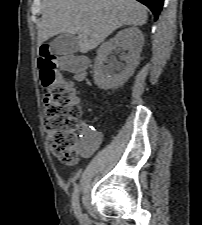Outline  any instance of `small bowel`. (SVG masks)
Masks as SVG:
<instances>
[{"label":"small bowel","mask_w":202,"mask_h":225,"mask_svg":"<svg viewBox=\"0 0 202 225\" xmlns=\"http://www.w3.org/2000/svg\"><path fill=\"white\" fill-rule=\"evenodd\" d=\"M81 127L83 134L79 145V154L82 157H90L104 144V136L101 132L92 129V124L89 121H82Z\"/></svg>","instance_id":"small-bowel-1"}]
</instances>
